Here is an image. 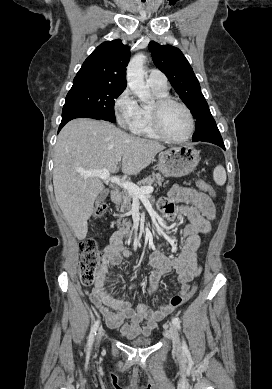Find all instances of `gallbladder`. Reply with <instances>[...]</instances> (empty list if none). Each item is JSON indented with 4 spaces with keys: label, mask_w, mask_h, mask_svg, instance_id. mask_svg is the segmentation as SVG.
<instances>
[{
    "label": "gallbladder",
    "mask_w": 272,
    "mask_h": 389,
    "mask_svg": "<svg viewBox=\"0 0 272 389\" xmlns=\"http://www.w3.org/2000/svg\"><path fill=\"white\" fill-rule=\"evenodd\" d=\"M108 193H109V190L108 189H104L96 198V201L97 202H102L106 199V197L108 196Z\"/></svg>",
    "instance_id": "gallbladder-1"
}]
</instances>
